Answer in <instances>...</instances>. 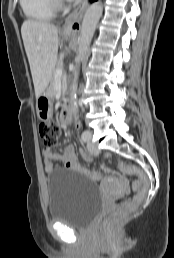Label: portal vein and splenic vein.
<instances>
[{"instance_id": "obj_1", "label": "portal vein and splenic vein", "mask_w": 174, "mask_h": 258, "mask_svg": "<svg viewBox=\"0 0 174 258\" xmlns=\"http://www.w3.org/2000/svg\"><path fill=\"white\" fill-rule=\"evenodd\" d=\"M62 72H63L62 69L57 70L56 74H55V77H61Z\"/></svg>"}]
</instances>
